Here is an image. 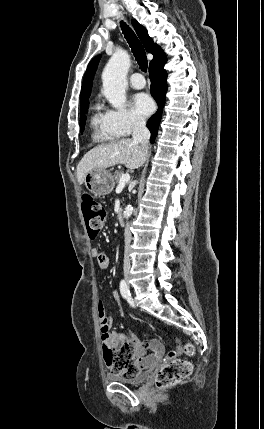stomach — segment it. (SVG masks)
Returning <instances> with one entry per match:
<instances>
[{
  "mask_svg": "<svg viewBox=\"0 0 264 429\" xmlns=\"http://www.w3.org/2000/svg\"><path fill=\"white\" fill-rule=\"evenodd\" d=\"M85 186L89 192L97 197L112 192L115 186L114 178L109 170L93 169L86 174Z\"/></svg>",
  "mask_w": 264,
  "mask_h": 429,
  "instance_id": "stomach-1",
  "label": "stomach"
}]
</instances>
